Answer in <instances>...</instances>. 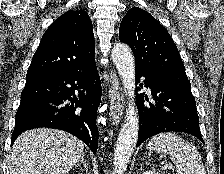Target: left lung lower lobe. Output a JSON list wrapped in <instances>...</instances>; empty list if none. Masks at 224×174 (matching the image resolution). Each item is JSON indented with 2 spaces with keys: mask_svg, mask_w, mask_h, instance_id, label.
I'll list each match as a JSON object with an SVG mask.
<instances>
[{
  "mask_svg": "<svg viewBox=\"0 0 224 174\" xmlns=\"http://www.w3.org/2000/svg\"><path fill=\"white\" fill-rule=\"evenodd\" d=\"M142 76L145 77L144 85L151 89L154 102L144 104V98L148 101L147 95H138L136 102L140 124L137 146L156 134L170 131L188 133L203 142L196 102L188 79L156 75L136 69L137 82Z\"/></svg>",
  "mask_w": 224,
  "mask_h": 174,
  "instance_id": "obj_1",
  "label": "left lung lower lobe"
}]
</instances>
